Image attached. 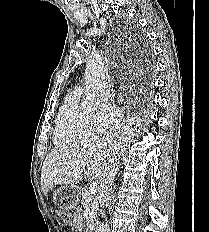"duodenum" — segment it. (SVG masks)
Returning <instances> with one entry per match:
<instances>
[{
  "mask_svg": "<svg viewBox=\"0 0 209 232\" xmlns=\"http://www.w3.org/2000/svg\"><path fill=\"white\" fill-rule=\"evenodd\" d=\"M89 232H95L93 227H90Z\"/></svg>",
  "mask_w": 209,
  "mask_h": 232,
  "instance_id": "duodenum-1",
  "label": "duodenum"
}]
</instances>
